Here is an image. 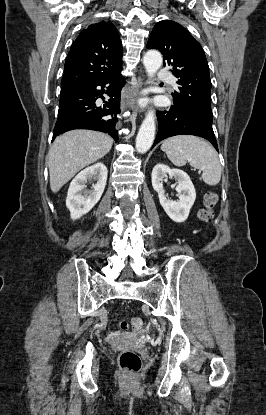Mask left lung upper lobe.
I'll return each mask as SVG.
<instances>
[{
    "mask_svg": "<svg viewBox=\"0 0 266 415\" xmlns=\"http://www.w3.org/2000/svg\"><path fill=\"white\" fill-rule=\"evenodd\" d=\"M158 49L178 78V91L172 93L174 104L185 114L212 128L211 80L204 50L180 24L171 20L158 22L147 43Z\"/></svg>",
    "mask_w": 266,
    "mask_h": 415,
    "instance_id": "1",
    "label": "left lung upper lobe"
}]
</instances>
